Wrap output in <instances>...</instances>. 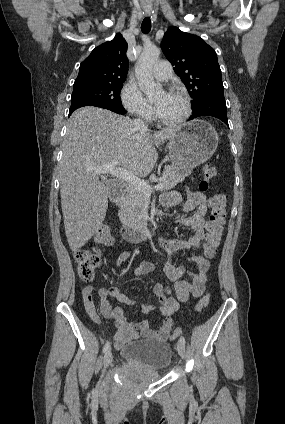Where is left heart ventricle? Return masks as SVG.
Wrapping results in <instances>:
<instances>
[{
	"mask_svg": "<svg viewBox=\"0 0 285 424\" xmlns=\"http://www.w3.org/2000/svg\"><path fill=\"white\" fill-rule=\"evenodd\" d=\"M153 103L161 117L167 120H176L183 116L186 110L184 99L177 94L159 93Z\"/></svg>",
	"mask_w": 285,
	"mask_h": 424,
	"instance_id": "b2bd125f",
	"label": "left heart ventricle"
}]
</instances>
